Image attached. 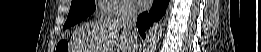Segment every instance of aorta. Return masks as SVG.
<instances>
[{
  "label": "aorta",
  "instance_id": "1",
  "mask_svg": "<svg viewBox=\"0 0 261 52\" xmlns=\"http://www.w3.org/2000/svg\"><path fill=\"white\" fill-rule=\"evenodd\" d=\"M161 34H162L161 25H155L151 29H149L146 38V43L149 45L150 51L155 49Z\"/></svg>",
  "mask_w": 261,
  "mask_h": 52
}]
</instances>
